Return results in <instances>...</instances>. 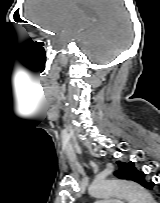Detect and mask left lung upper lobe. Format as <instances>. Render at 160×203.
Returning <instances> with one entry per match:
<instances>
[{"label": "left lung upper lobe", "instance_id": "obj_1", "mask_svg": "<svg viewBox=\"0 0 160 203\" xmlns=\"http://www.w3.org/2000/svg\"><path fill=\"white\" fill-rule=\"evenodd\" d=\"M117 163L119 164V170L116 174L118 178L132 180L144 187L146 186L148 182L145 181V174L138 171L133 162L124 163L118 161Z\"/></svg>", "mask_w": 160, "mask_h": 203}]
</instances>
